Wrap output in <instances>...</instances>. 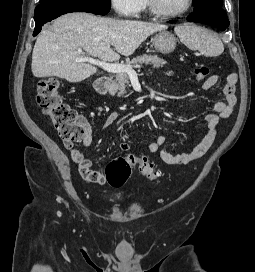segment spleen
<instances>
[{
    "instance_id": "1",
    "label": "spleen",
    "mask_w": 255,
    "mask_h": 272,
    "mask_svg": "<svg viewBox=\"0 0 255 272\" xmlns=\"http://www.w3.org/2000/svg\"><path fill=\"white\" fill-rule=\"evenodd\" d=\"M175 32L189 49L198 50L207 57L218 56L224 51L220 38L204 27L186 23L175 27Z\"/></svg>"
}]
</instances>
